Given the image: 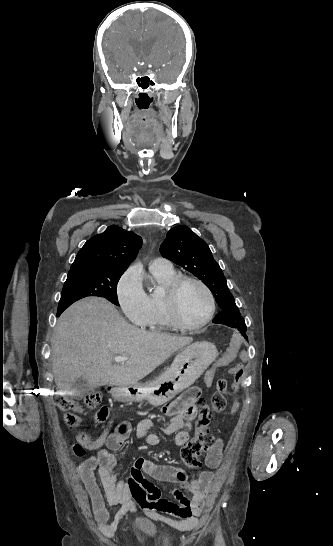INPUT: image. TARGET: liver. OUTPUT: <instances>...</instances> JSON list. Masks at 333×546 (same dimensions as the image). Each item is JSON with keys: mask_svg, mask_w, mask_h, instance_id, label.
I'll return each instance as SVG.
<instances>
[{"mask_svg": "<svg viewBox=\"0 0 333 546\" xmlns=\"http://www.w3.org/2000/svg\"><path fill=\"white\" fill-rule=\"evenodd\" d=\"M193 341L146 332L127 323L103 298H85L62 313L52 339V370L60 390L84 377L90 386H128ZM128 360L113 364L114 356Z\"/></svg>", "mask_w": 333, "mask_h": 546, "instance_id": "liver-1", "label": "liver"}]
</instances>
